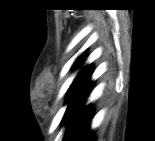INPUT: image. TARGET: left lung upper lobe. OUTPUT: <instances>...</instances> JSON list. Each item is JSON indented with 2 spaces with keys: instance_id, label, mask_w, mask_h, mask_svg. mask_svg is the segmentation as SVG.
Segmentation results:
<instances>
[{
  "instance_id": "left-lung-upper-lobe-1",
  "label": "left lung upper lobe",
  "mask_w": 155,
  "mask_h": 141,
  "mask_svg": "<svg viewBox=\"0 0 155 141\" xmlns=\"http://www.w3.org/2000/svg\"><path fill=\"white\" fill-rule=\"evenodd\" d=\"M86 51L83 52L78 59L73 64V68H78L83 64L85 59ZM93 73V67L91 64L82 68V70L78 73L72 85L70 86L67 97L66 104H68L67 110L63 117L65 119L67 112L70 106L78 99V97L87 89V87L91 84V76Z\"/></svg>"
}]
</instances>
